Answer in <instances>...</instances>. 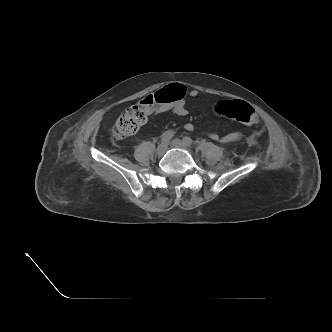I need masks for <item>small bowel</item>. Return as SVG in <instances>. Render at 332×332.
I'll list each match as a JSON object with an SVG mask.
<instances>
[{
  "instance_id": "1",
  "label": "small bowel",
  "mask_w": 332,
  "mask_h": 332,
  "mask_svg": "<svg viewBox=\"0 0 332 332\" xmlns=\"http://www.w3.org/2000/svg\"><path fill=\"white\" fill-rule=\"evenodd\" d=\"M198 94H199V92L196 89H193L189 92V95L193 98L197 97ZM155 112L158 114L170 113V114H174L177 116H186L188 114V109L186 107L185 101L181 100V101L171 104V105L158 107ZM185 129L189 132H193L195 127L192 123H187L185 125ZM207 136L210 139L223 143V144L238 142L242 138V134L239 132H231V133H227L223 136H219L217 133H214V132H209V133H207Z\"/></svg>"
}]
</instances>
